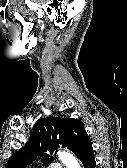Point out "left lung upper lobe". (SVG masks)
Wrapping results in <instances>:
<instances>
[{
	"instance_id": "1",
	"label": "left lung upper lobe",
	"mask_w": 127,
	"mask_h": 168,
	"mask_svg": "<svg viewBox=\"0 0 127 168\" xmlns=\"http://www.w3.org/2000/svg\"><path fill=\"white\" fill-rule=\"evenodd\" d=\"M86 138L88 134L80 120L64 117L39 119L30 140L10 157L5 168H24L36 156L43 157L44 165L50 164L54 158L48 152L52 153L60 146L77 155Z\"/></svg>"
}]
</instances>
